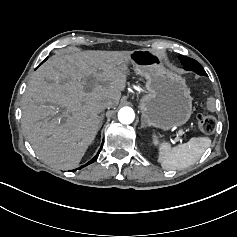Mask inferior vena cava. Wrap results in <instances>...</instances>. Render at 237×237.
Listing matches in <instances>:
<instances>
[{
    "label": "inferior vena cava",
    "mask_w": 237,
    "mask_h": 237,
    "mask_svg": "<svg viewBox=\"0 0 237 237\" xmlns=\"http://www.w3.org/2000/svg\"><path fill=\"white\" fill-rule=\"evenodd\" d=\"M112 106H113V102L111 100H105L101 102L102 109L112 107Z\"/></svg>",
    "instance_id": "inferior-vena-cava-1"
}]
</instances>
